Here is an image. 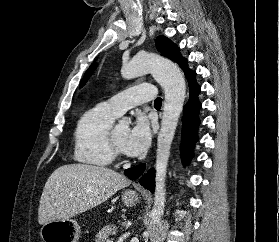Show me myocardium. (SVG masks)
Returning a JSON list of instances; mask_svg holds the SVG:
<instances>
[{"label":"myocardium","instance_id":"f54148a6","mask_svg":"<svg viewBox=\"0 0 279 242\" xmlns=\"http://www.w3.org/2000/svg\"><path fill=\"white\" fill-rule=\"evenodd\" d=\"M114 132H115V129H112V130H110V133H109L110 146H111L112 151L115 156L124 158V157H126V152L116 142Z\"/></svg>","mask_w":279,"mask_h":242}]
</instances>
